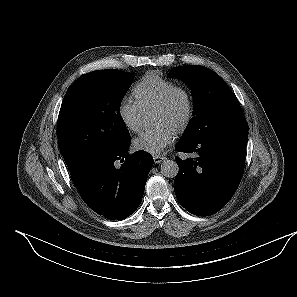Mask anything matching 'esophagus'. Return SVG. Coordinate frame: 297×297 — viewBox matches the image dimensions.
Segmentation results:
<instances>
[{
  "instance_id": "34e87169",
  "label": "esophagus",
  "mask_w": 297,
  "mask_h": 297,
  "mask_svg": "<svg viewBox=\"0 0 297 297\" xmlns=\"http://www.w3.org/2000/svg\"><path fill=\"white\" fill-rule=\"evenodd\" d=\"M165 159H166V157H164V156H154L153 157V160H154L155 164H159L162 161H164Z\"/></svg>"
}]
</instances>
